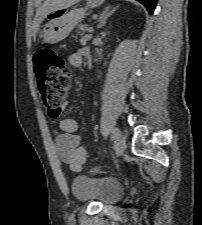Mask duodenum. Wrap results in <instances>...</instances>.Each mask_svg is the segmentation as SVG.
<instances>
[{"mask_svg": "<svg viewBox=\"0 0 202 225\" xmlns=\"http://www.w3.org/2000/svg\"><path fill=\"white\" fill-rule=\"evenodd\" d=\"M86 61L89 66H92V55L90 52L86 53Z\"/></svg>", "mask_w": 202, "mask_h": 225, "instance_id": "obj_1", "label": "duodenum"}]
</instances>
